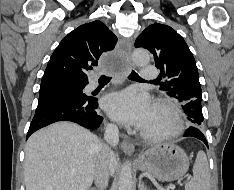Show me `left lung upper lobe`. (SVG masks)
I'll return each mask as SVG.
<instances>
[{"label":"left lung upper lobe","mask_w":234,"mask_h":190,"mask_svg":"<svg viewBox=\"0 0 234 190\" xmlns=\"http://www.w3.org/2000/svg\"><path fill=\"white\" fill-rule=\"evenodd\" d=\"M135 47L148 49L159 79H165L160 89L181 104L190 124L203 129L202 90L195 59L184 39L170 26L154 23L136 39Z\"/></svg>","instance_id":"1"}]
</instances>
